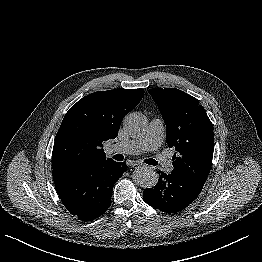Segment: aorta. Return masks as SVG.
I'll use <instances>...</instances> for the list:
<instances>
[{
    "mask_svg": "<svg viewBox=\"0 0 262 262\" xmlns=\"http://www.w3.org/2000/svg\"><path fill=\"white\" fill-rule=\"evenodd\" d=\"M147 121L143 114L129 113L123 119V127L131 137L141 136L146 129ZM159 176L152 168L137 169L133 173L134 182L142 188H152L158 182Z\"/></svg>",
    "mask_w": 262,
    "mask_h": 262,
    "instance_id": "aorta-1",
    "label": "aorta"
}]
</instances>
